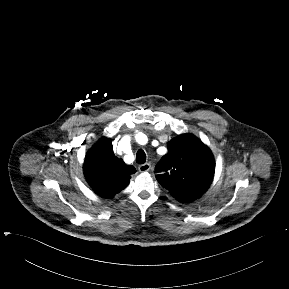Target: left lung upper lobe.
<instances>
[{
    "mask_svg": "<svg viewBox=\"0 0 289 289\" xmlns=\"http://www.w3.org/2000/svg\"><path fill=\"white\" fill-rule=\"evenodd\" d=\"M167 148L168 153L156 165L158 182L179 202L197 199L213 180L215 163L211 151L190 134L173 138Z\"/></svg>",
    "mask_w": 289,
    "mask_h": 289,
    "instance_id": "obj_1",
    "label": "left lung upper lobe"
}]
</instances>
